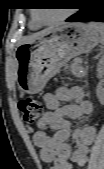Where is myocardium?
<instances>
[{"label": "myocardium", "instance_id": "f54148a6", "mask_svg": "<svg viewBox=\"0 0 104 169\" xmlns=\"http://www.w3.org/2000/svg\"><path fill=\"white\" fill-rule=\"evenodd\" d=\"M70 15V11L67 10L65 13H63L60 17H58L57 19L55 20H52V21H48V22H45V21H42L40 20L36 14L33 15V18L35 19V21L39 24H42V25H50V24H55V23H58V22H61L65 19H67Z\"/></svg>", "mask_w": 104, "mask_h": 169}]
</instances>
